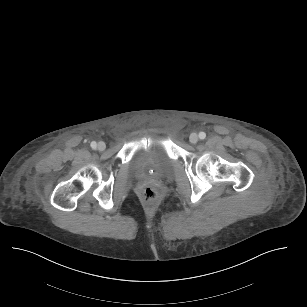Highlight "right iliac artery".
<instances>
[{
    "label": "right iliac artery",
    "mask_w": 307,
    "mask_h": 307,
    "mask_svg": "<svg viewBox=\"0 0 307 307\" xmlns=\"http://www.w3.org/2000/svg\"><path fill=\"white\" fill-rule=\"evenodd\" d=\"M90 145H91V147H92V148H94V149H95V148H96V146H97L96 142H94V141H93V142H91V144H90Z\"/></svg>",
    "instance_id": "1"
}]
</instances>
